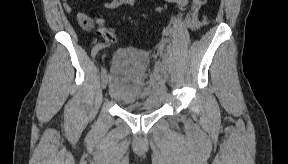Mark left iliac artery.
Returning a JSON list of instances; mask_svg holds the SVG:
<instances>
[{"instance_id": "obj_1", "label": "left iliac artery", "mask_w": 288, "mask_h": 164, "mask_svg": "<svg viewBox=\"0 0 288 164\" xmlns=\"http://www.w3.org/2000/svg\"><path fill=\"white\" fill-rule=\"evenodd\" d=\"M168 60H169V59H168V56H167V55H164V56H163V61H164V62H168Z\"/></svg>"}]
</instances>
